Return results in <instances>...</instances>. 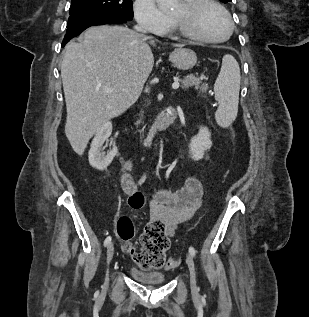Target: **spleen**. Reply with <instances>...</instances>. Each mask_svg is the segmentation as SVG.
Masks as SVG:
<instances>
[{
	"label": "spleen",
	"mask_w": 309,
	"mask_h": 317,
	"mask_svg": "<svg viewBox=\"0 0 309 317\" xmlns=\"http://www.w3.org/2000/svg\"><path fill=\"white\" fill-rule=\"evenodd\" d=\"M240 79V68L236 59L232 55H225L214 85L215 99L219 104L215 117L222 127L229 126L237 117Z\"/></svg>",
	"instance_id": "spleen-1"
}]
</instances>
